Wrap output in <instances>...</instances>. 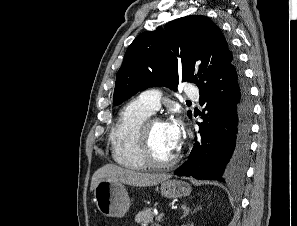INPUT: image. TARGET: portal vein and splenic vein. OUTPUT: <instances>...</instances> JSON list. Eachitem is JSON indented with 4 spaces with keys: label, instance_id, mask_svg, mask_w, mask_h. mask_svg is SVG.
<instances>
[{
    "label": "portal vein and splenic vein",
    "instance_id": "1",
    "mask_svg": "<svg viewBox=\"0 0 297 226\" xmlns=\"http://www.w3.org/2000/svg\"><path fill=\"white\" fill-rule=\"evenodd\" d=\"M164 217V213H160L157 217L156 220H160Z\"/></svg>",
    "mask_w": 297,
    "mask_h": 226
}]
</instances>
